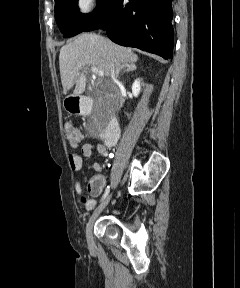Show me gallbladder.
Returning a JSON list of instances; mask_svg holds the SVG:
<instances>
[{"instance_id":"obj_1","label":"gallbladder","mask_w":240,"mask_h":288,"mask_svg":"<svg viewBox=\"0 0 240 288\" xmlns=\"http://www.w3.org/2000/svg\"><path fill=\"white\" fill-rule=\"evenodd\" d=\"M97 109L104 111V106L102 104H97Z\"/></svg>"}]
</instances>
